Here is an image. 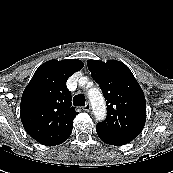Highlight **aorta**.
I'll return each instance as SVG.
<instances>
[{
  "label": "aorta",
  "instance_id": "1",
  "mask_svg": "<svg viewBox=\"0 0 173 173\" xmlns=\"http://www.w3.org/2000/svg\"><path fill=\"white\" fill-rule=\"evenodd\" d=\"M83 80L85 78H82ZM89 100L91 102L93 113L96 120H104L106 116L105 101L101 92L97 88H92L88 92Z\"/></svg>",
  "mask_w": 173,
  "mask_h": 173
}]
</instances>
